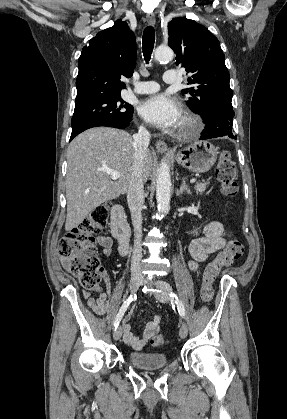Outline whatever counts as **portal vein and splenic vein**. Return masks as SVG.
<instances>
[{
  "instance_id": "1",
  "label": "portal vein and splenic vein",
  "mask_w": 287,
  "mask_h": 419,
  "mask_svg": "<svg viewBox=\"0 0 287 419\" xmlns=\"http://www.w3.org/2000/svg\"><path fill=\"white\" fill-rule=\"evenodd\" d=\"M102 171L109 174L111 176L112 180H117L121 176L119 172L114 171V170L103 169ZM195 182H196V179H191L190 180V183H192V184L195 183Z\"/></svg>"
}]
</instances>
